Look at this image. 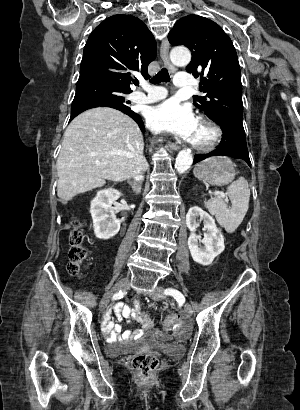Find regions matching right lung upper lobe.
<instances>
[{
	"mask_svg": "<svg viewBox=\"0 0 300 410\" xmlns=\"http://www.w3.org/2000/svg\"><path fill=\"white\" fill-rule=\"evenodd\" d=\"M157 44L147 26L129 15L104 20L89 36L78 82H98L130 91L132 71L148 76Z\"/></svg>",
	"mask_w": 300,
	"mask_h": 410,
	"instance_id": "1",
	"label": "right lung upper lobe"
}]
</instances>
